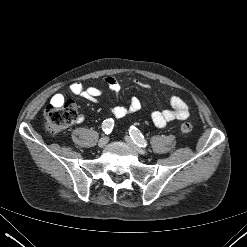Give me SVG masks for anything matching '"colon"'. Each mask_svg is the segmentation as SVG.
Instances as JSON below:
<instances>
[{"label":"colon","instance_id":"colon-1","mask_svg":"<svg viewBox=\"0 0 247 247\" xmlns=\"http://www.w3.org/2000/svg\"><path fill=\"white\" fill-rule=\"evenodd\" d=\"M76 108L72 102L52 103L44 111L45 126L51 134H59L69 127L76 119ZM190 122H184L180 126L183 134L192 131Z\"/></svg>","mask_w":247,"mask_h":247}]
</instances>
